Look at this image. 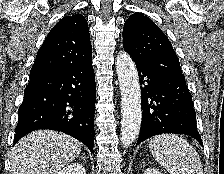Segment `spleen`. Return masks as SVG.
I'll return each mask as SVG.
<instances>
[{"label":"spleen","instance_id":"1","mask_svg":"<svg viewBox=\"0 0 224 174\" xmlns=\"http://www.w3.org/2000/svg\"><path fill=\"white\" fill-rule=\"evenodd\" d=\"M150 152L170 174H204L197 151L175 134H161L149 142Z\"/></svg>","mask_w":224,"mask_h":174}]
</instances>
